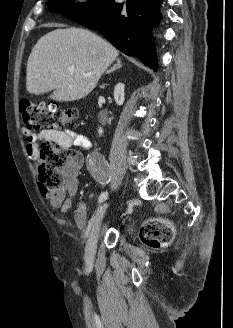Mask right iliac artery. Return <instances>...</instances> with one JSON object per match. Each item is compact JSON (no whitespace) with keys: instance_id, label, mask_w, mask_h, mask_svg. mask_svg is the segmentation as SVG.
Returning <instances> with one entry per match:
<instances>
[{"instance_id":"1","label":"right iliac artery","mask_w":233,"mask_h":328,"mask_svg":"<svg viewBox=\"0 0 233 328\" xmlns=\"http://www.w3.org/2000/svg\"><path fill=\"white\" fill-rule=\"evenodd\" d=\"M89 166L92 172V176L97 180V182H99L102 185H105L107 183V179L105 177L104 171L107 168V162L105 161L104 157L98 152L92 153L89 159ZM107 198H108V193L103 192L99 196L98 202L102 203ZM93 221H94V217H92V219L89 221L86 230V236L89 234Z\"/></svg>"}]
</instances>
